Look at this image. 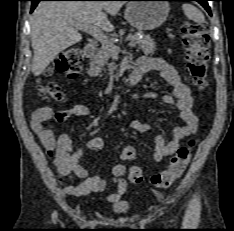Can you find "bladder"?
I'll list each match as a JSON object with an SVG mask.
<instances>
[{
	"label": "bladder",
	"instance_id": "31cf9c89",
	"mask_svg": "<svg viewBox=\"0 0 234 231\" xmlns=\"http://www.w3.org/2000/svg\"><path fill=\"white\" fill-rule=\"evenodd\" d=\"M133 205L130 201L120 200L112 206V211L115 213H127L132 209Z\"/></svg>",
	"mask_w": 234,
	"mask_h": 231
}]
</instances>
